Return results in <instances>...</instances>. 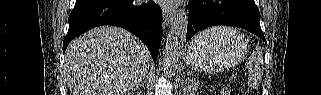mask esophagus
<instances>
[{
    "label": "esophagus",
    "instance_id": "1",
    "mask_svg": "<svg viewBox=\"0 0 321 95\" xmlns=\"http://www.w3.org/2000/svg\"><path fill=\"white\" fill-rule=\"evenodd\" d=\"M175 17L174 9L163 8V19L166 26L170 25Z\"/></svg>",
    "mask_w": 321,
    "mask_h": 95
}]
</instances>
